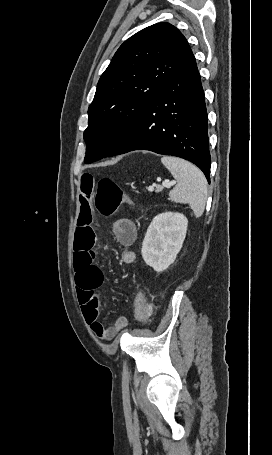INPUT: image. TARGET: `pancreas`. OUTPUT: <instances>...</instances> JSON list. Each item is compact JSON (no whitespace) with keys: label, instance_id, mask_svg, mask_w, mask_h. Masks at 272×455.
I'll use <instances>...</instances> for the list:
<instances>
[{"label":"pancreas","instance_id":"1","mask_svg":"<svg viewBox=\"0 0 272 455\" xmlns=\"http://www.w3.org/2000/svg\"><path fill=\"white\" fill-rule=\"evenodd\" d=\"M162 190H163V186H161V185H157V186H156V190H155L156 193H159V192H161Z\"/></svg>","mask_w":272,"mask_h":455}]
</instances>
